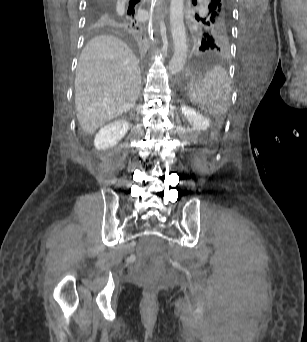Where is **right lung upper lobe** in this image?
Masks as SVG:
<instances>
[{
    "label": "right lung upper lobe",
    "instance_id": "right-lung-upper-lobe-1",
    "mask_svg": "<svg viewBox=\"0 0 307 342\" xmlns=\"http://www.w3.org/2000/svg\"><path fill=\"white\" fill-rule=\"evenodd\" d=\"M139 1L131 0L128 3L125 0H88L87 30L90 33L141 38L145 24L137 4Z\"/></svg>",
    "mask_w": 307,
    "mask_h": 342
}]
</instances>
